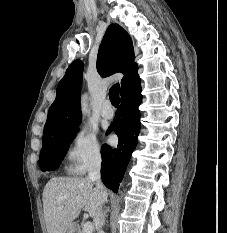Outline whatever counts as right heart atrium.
<instances>
[{"label":"right heart atrium","instance_id":"right-heart-atrium-1","mask_svg":"<svg viewBox=\"0 0 227 233\" xmlns=\"http://www.w3.org/2000/svg\"><path fill=\"white\" fill-rule=\"evenodd\" d=\"M66 168L72 174L81 175L102 162V149L97 133L86 127H79L72 135L66 150Z\"/></svg>","mask_w":227,"mask_h":233}]
</instances>
